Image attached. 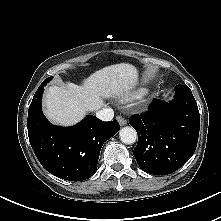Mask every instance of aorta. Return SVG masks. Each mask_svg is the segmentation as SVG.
Here are the masks:
<instances>
[{"label":"aorta","mask_w":221,"mask_h":221,"mask_svg":"<svg viewBox=\"0 0 221 221\" xmlns=\"http://www.w3.org/2000/svg\"><path fill=\"white\" fill-rule=\"evenodd\" d=\"M120 140L125 144H133L137 139V132L134 128L126 126L119 132Z\"/></svg>","instance_id":"obj_1"}]
</instances>
